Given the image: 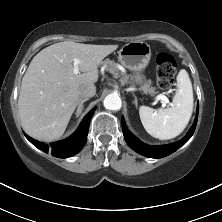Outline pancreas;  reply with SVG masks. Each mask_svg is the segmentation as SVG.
Returning a JSON list of instances; mask_svg holds the SVG:
<instances>
[{
    "mask_svg": "<svg viewBox=\"0 0 222 222\" xmlns=\"http://www.w3.org/2000/svg\"><path fill=\"white\" fill-rule=\"evenodd\" d=\"M102 65L105 67V70L112 73L115 78H118V77L121 76L122 77L121 80H120L121 84H127L128 83L129 77L125 73H123L119 70V67H117V65L114 61H111V60L107 59V60L102 62ZM150 85H151V81L150 80L146 81L141 86V90L144 93H149L151 95L156 94L155 87H151Z\"/></svg>",
    "mask_w": 222,
    "mask_h": 222,
    "instance_id": "cf45deb5",
    "label": "pancreas"
}]
</instances>
